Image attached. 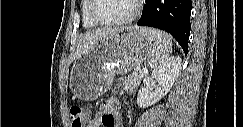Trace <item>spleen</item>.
Masks as SVG:
<instances>
[{
  "label": "spleen",
  "mask_w": 243,
  "mask_h": 127,
  "mask_svg": "<svg viewBox=\"0 0 243 127\" xmlns=\"http://www.w3.org/2000/svg\"><path fill=\"white\" fill-rule=\"evenodd\" d=\"M147 36L153 42V50L148 58V65L155 70L169 59L172 42L168 34L157 30L151 29L147 32Z\"/></svg>",
  "instance_id": "3e777b00"
}]
</instances>
